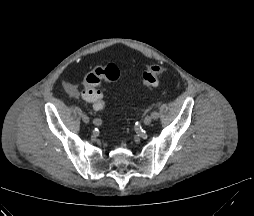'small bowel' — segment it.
<instances>
[{"label": "small bowel", "instance_id": "small-bowel-1", "mask_svg": "<svg viewBox=\"0 0 254 216\" xmlns=\"http://www.w3.org/2000/svg\"><path fill=\"white\" fill-rule=\"evenodd\" d=\"M63 87H64L66 93H67L69 96H71V97H78V96L80 95L79 89H78L75 85H73V84H71V83L65 82V83L63 84ZM82 95H83V94H82ZM90 103H91V102H90ZM92 104H93V103H92ZM93 106H94V109L97 110V111L102 110L103 107H104L103 104H101V105H94V104H93Z\"/></svg>", "mask_w": 254, "mask_h": 216}]
</instances>
